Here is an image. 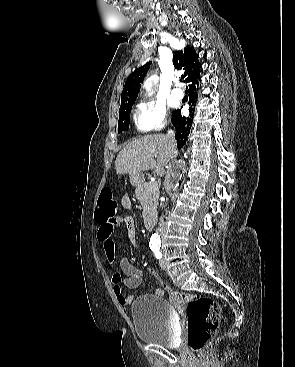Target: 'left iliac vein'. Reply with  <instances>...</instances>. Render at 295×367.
<instances>
[{
	"label": "left iliac vein",
	"mask_w": 295,
	"mask_h": 367,
	"mask_svg": "<svg viewBox=\"0 0 295 367\" xmlns=\"http://www.w3.org/2000/svg\"><path fill=\"white\" fill-rule=\"evenodd\" d=\"M159 265L162 269H166V260L164 257L160 259Z\"/></svg>",
	"instance_id": "1"
}]
</instances>
